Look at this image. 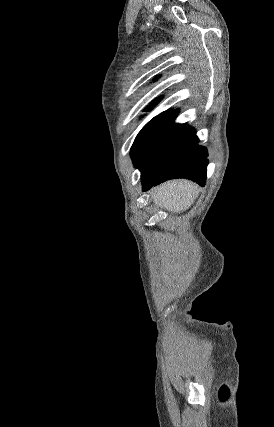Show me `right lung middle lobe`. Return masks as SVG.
<instances>
[{
	"label": "right lung middle lobe",
	"instance_id": "dd1d6c3e",
	"mask_svg": "<svg viewBox=\"0 0 274 427\" xmlns=\"http://www.w3.org/2000/svg\"><path fill=\"white\" fill-rule=\"evenodd\" d=\"M151 108L149 107L147 110ZM171 112L172 110L162 112L139 132L131 148V157L135 166L142 161L151 144L159 137Z\"/></svg>",
	"mask_w": 274,
	"mask_h": 427
}]
</instances>
